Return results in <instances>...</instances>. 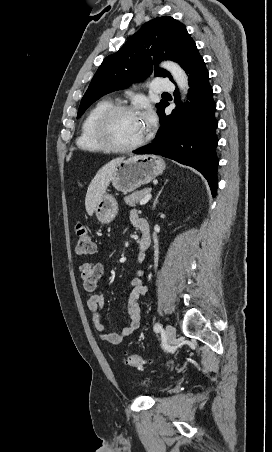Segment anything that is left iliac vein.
<instances>
[{
  "label": "left iliac vein",
  "instance_id": "obj_1",
  "mask_svg": "<svg viewBox=\"0 0 272 452\" xmlns=\"http://www.w3.org/2000/svg\"><path fill=\"white\" fill-rule=\"evenodd\" d=\"M165 335H166L167 343L169 345L173 344L174 341H175V337H176V330H175V328L172 325H170V324L166 325Z\"/></svg>",
  "mask_w": 272,
  "mask_h": 452
}]
</instances>
